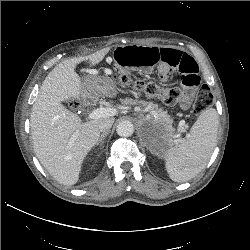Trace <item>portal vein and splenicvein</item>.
<instances>
[{
  "label": "portal vein and splenic vein",
  "mask_w": 250,
  "mask_h": 250,
  "mask_svg": "<svg viewBox=\"0 0 250 250\" xmlns=\"http://www.w3.org/2000/svg\"><path fill=\"white\" fill-rule=\"evenodd\" d=\"M139 111V108H136ZM117 113V110L115 108L110 107H100L97 109H94L92 112H90L87 115L88 119H97L102 117H110L114 116ZM183 125L182 122H180L179 126L181 127Z\"/></svg>",
  "instance_id": "1"
}]
</instances>
